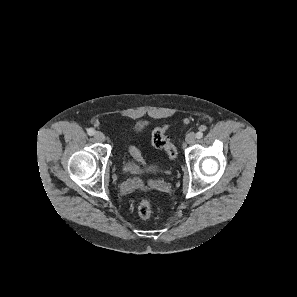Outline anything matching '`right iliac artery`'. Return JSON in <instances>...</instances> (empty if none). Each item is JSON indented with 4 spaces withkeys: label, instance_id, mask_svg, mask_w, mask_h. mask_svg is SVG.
<instances>
[{
    "label": "right iliac artery",
    "instance_id": "right-iliac-artery-1",
    "mask_svg": "<svg viewBox=\"0 0 297 297\" xmlns=\"http://www.w3.org/2000/svg\"><path fill=\"white\" fill-rule=\"evenodd\" d=\"M87 133H88V135L92 136V135H94L95 132L92 128H90L87 130Z\"/></svg>",
    "mask_w": 297,
    "mask_h": 297
}]
</instances>
